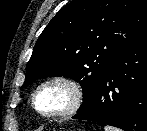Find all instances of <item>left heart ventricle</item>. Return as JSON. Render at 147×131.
I'll return each mask as SVG.
<instances>
[{
    "label": "left heart ventricle",
    "instance_id": "obj_1",
    "mask_svg": "<svg viewBox=\"0 0 147 131\" xmlns=\"http://www.w3.org/2000/svg\"><path fill=\"white\" fill-rule=\"evenodd\" d=\"M70 93L60 84L44 87L36 96V105L44 113L58 112L65 109L70 102Z\"/></svg>",
    "mask_w": 147,
    "mask_h": 131
}]
</instances>
